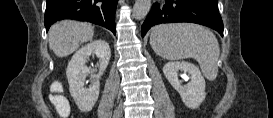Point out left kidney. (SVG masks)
I'll use <instances>...</instances> for the list:
<instances>
[{"label":"left kidney","mask_w":273,"mask_h":118,"mask_svg":"<svg viewBox=\"0 0 273 118\" xmlns=\"http://www.w3.org/2000/svg\"><path fill=\"white\" fill-rule=\"evenodd\" d=\"M181 71L182 77L186 74L190 77V82L182 85L178 79V72ZM163 73L172 87L178 91L184 104L191 109L200 106L206 97L205 79L200 70L189 62H168L163 67Z\"/></svg>","instance_id":"obj_1"}]
</instances>
